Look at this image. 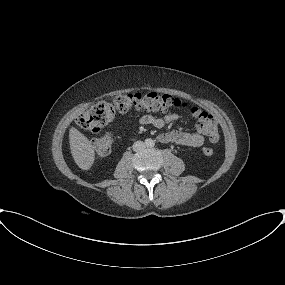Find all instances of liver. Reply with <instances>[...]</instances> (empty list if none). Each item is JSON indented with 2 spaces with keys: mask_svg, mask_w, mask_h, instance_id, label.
I'll return each instance as SVG.
<instances>
[{
  "mask_svg": "<svg viewBox=\"0 0 285 285\" xmlns=\"http://www.w3.org/2000/svg\"><path fill=\"white\" fill-rule=\"evenodd\" d=\"M69 143L75 163L82 170H89L95 159L92 143L75 127H71L69 130Z\"/></svg>",
  "mask_w": 285,
  "mask_h": 285,
  "instance_id": "obj_1",
  "label": "liver"
}]
</instances>
